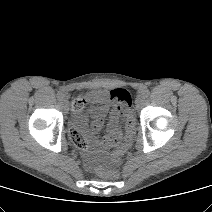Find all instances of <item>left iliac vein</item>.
Masks as SVG:
<instances>
[{
	"label": "left iliac vein",
	"mask_w": 212,
	"mask_h": 212,
	"mask_svg": "<svg viewBox=\"0 0 212 212\" xmlns=\"http://www.w3.org/2000/svg\"><path fill=\"white\" fill-rule=\"evenodd\" d=\"M144 101H145V96L143 94H139L135 100L136 108L140 109L143 106Z\"/></svg>",
	"instance_id": "obj_1"
}]
</instances>
